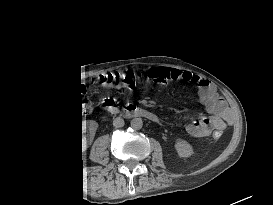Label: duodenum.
Segmentation results:
<instances>
[{
    "mask_svg": "<svg viewBox=\"0 0 273 205\" xmlns=\"http://www.w3.org/2000/svg\"><path fill=\"white\" fill-rule=\"evenodd\" d=\"M107 109L111 112L120 113L125 117H144L150 120H157V116L154 113L133 105H119L113 101H107Z\"/></svg>",
    "mask_w": 273,
    "mask_h": 205,
    "instance_id": "obj_1",
    "label": "duodenum"
}]
</instances>
